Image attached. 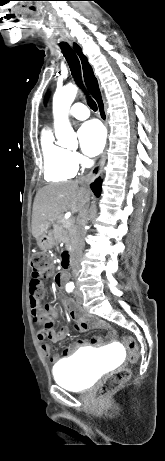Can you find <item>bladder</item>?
Here are the masks:
<instances>
[{
	"instance_id": "bladder-1",
	"label": "bladder",
	"mask_w": 165,
	"mask_h": 461,
	"mask_svg": "<svg viewBox=\"0 0 165 461\" xmlns=\"http://www.w3.org/2000/svg\"><path fill=\"white\" fill-rule=\"evenodd\" d=\"M91 352L79 351L71 357L59 361L53 367V378L62 387L81 391L92 386L105 372L106 360L90 358Z\"/></svg>"
}]
</instances>
